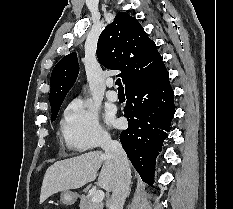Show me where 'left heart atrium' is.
Segmentation results:
<instances>
[{
  "instance_id": "39dd6f15",
  "label": "left heart atrium",
  "mask_w": 233,
  "mask_h": 209,
  "mask_svg": "<svg viewBox=\"0 0 233 209\" xmlns=\"http://www.w3.org/2000/svg\"><path fill=\"white\" fill-rule=\"evenodd\" d=\"M107 121L113 122V116L111 114H107Z\"/></svg>"
}]
</instances>
